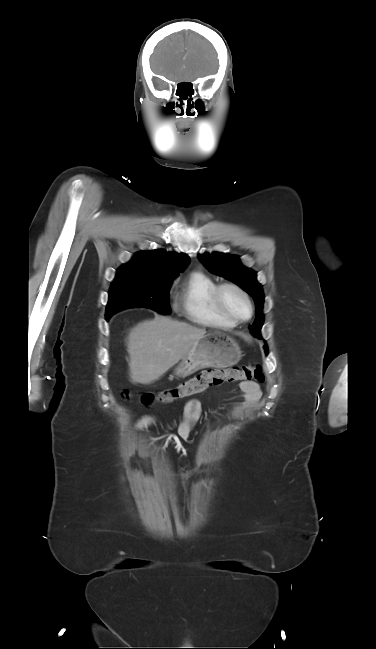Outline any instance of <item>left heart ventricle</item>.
Instances as JSON below:
<instances>
[{"label": "left heart ventricle", "instance_id": "left-heart-ventricle-1", "mask_svg": "<svg viewBox=\"0 0 376 649\" xmlns=\"http://www.w3.org/2000/svg\"><path fill=\"white\" fill-rule=\"evenodd\" d=\"M224 299L229 310L238 317L248 315V305L245 300L234 291H226Z\"/></svg>", "mask_w": 376, "mask_h": 649}]
</instances>
